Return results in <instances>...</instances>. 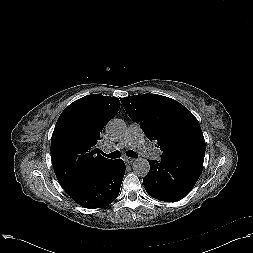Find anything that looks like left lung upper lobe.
<instances>
[{
    "label": "left lung upper lobe",
    "instance_id": "obj_1",
    "mask_svg": "<svg viewBox=\"0 0 253 253\" xmlns=\"http://www.w3.org/2000/svg\"><path fill=\"white\" fill-rule=\"evenodd\" d=\"M120 100L146 137L156 141L161 157L190 156L204 160L206 145L200 124L182 104L150 93Z\"/></svg>",
    "mask_w": 253,
    "mask_h": 253
}]
</instances>
